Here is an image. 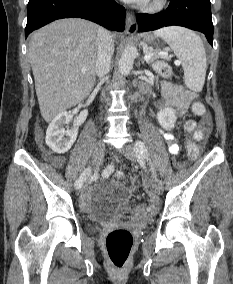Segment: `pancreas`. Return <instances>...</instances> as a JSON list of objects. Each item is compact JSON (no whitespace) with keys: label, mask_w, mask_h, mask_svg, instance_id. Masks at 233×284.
<instances>
[{"label":"pancreas","mask_w":233,"mask_h":284,"mask_svg":"<svg viewBox=\"0 0 233 284\" xmlns=\"http://www.w3.org/2000/svg\"><path fill=\"white\" fill-rule=\"evenodd\" d=\"M152 54L151 59L148 61V64H153V68L156 69L157 65H164V62H159L156 61L157 59H159L161 56L159 55L160 51L159 50H155V51H151L150 52Z\"/></svg>","instance_id":"cf45deb5"}]
</instances>
